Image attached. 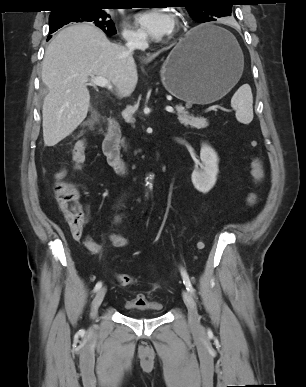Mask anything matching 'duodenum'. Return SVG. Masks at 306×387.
I'll use <instances>...</instances> for the list:
<instances>
[{
  "mask_svg": "<svg viewBox=\"0 0 306 387\" xmlns=\"http://www.w3.org/2000/svg\"><path fill=\"white\" fill-rule=\"evenodd\" d=\"M120 126L116 119H111L102 143V150L108 164L120 175H126L129 172L127 162L122 158L120 147Z\"/></svg>",
  "mask_w": 306,
  "mask_h": 387,
  "instance_id": "obj_1",
  "label": "duodenum"
}]
</instances>
